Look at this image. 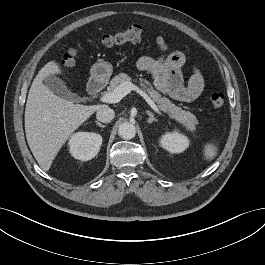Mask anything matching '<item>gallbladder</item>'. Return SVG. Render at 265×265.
<instances>
[{"mask_svg":"<svg viewBox=\"0 0 265 265\" xmlns=\"http://www.w3.org/2000/svg\"><path fill=\"white\" fill-rule=\"evenodd\" d=\"M45 86H47L52 92L55 94L61 96L62 98L71 100L73 102H78L80 97L72 93L68 90V88L65 86L64 82L60 80L55 75H50L44 80Z\"/></svg>","mask_w":265,"mask_h":265,"instance_id":"1","label":"gallbladder"}]
</instances>
